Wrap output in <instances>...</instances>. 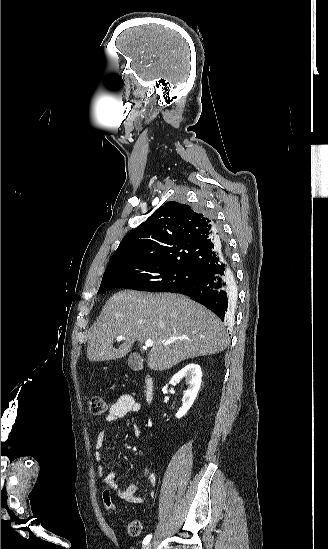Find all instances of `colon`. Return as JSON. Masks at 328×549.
<instances>
[{
	"label": "colon",
	"instance_id": "obj_1",
	"mask_svg": "<svg viewBox=\"0 0 328 549\" xmlns=\"http://www.w3.org/2000/svg\"><path fill=\"white\" fill-rule=\"evenodd\" d=\"M106 403L99 395H93L89 399V410L93 415H101L106 411ZM102 503L106 510L115 512L116 506L112 500L110 492L105 489L102 492ZM128 533L131 536H138L142 531V523L138 519H133L128 523Z\"/></svg>",
	"mask_w": 328,
	"mask_h": 549
}]
</instances>
